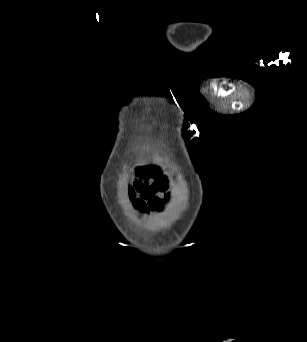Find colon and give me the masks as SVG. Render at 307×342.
Instances as JSON below:
<instances>
[{
  "label": "colon",
  "mask_w": 307,
  "mask_h": 342,
  "mask_svg": "<svg viewBox=\"0 0 307 342\" xmlns=\"http://www.w3.org/2000/svg\"><path fill=\"white\" fill-rule=\"evenodd\" d=\"M134 182L136 192L144 197H149L156 191L166 188L165 177L159 172L158 176L154 178V172L146 168L137 171Z\"/></svg>",
  "instance_id": "1"
}]
</instances>
